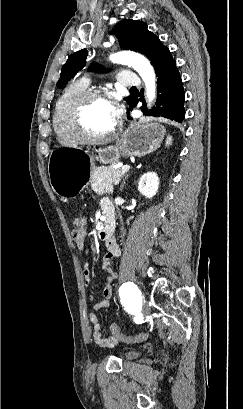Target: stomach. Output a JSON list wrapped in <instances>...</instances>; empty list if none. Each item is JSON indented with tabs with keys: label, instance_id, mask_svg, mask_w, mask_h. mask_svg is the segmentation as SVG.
Returning <instances> with one entry per match:
<instances>
[{
	"label": "stomach",
	"instance_id": "0dacf381",
	"mask_svg": "<svg viewBox=\"0 0 243 409\" xmlns=\"http://www.w3.org/2000/svg\"><path fill=\"white\" fill-rule=\"evenodd\" d=\"M164 135V127L157 122L135 123L123 132L115 145L100 148L96 160L113 164L121 156H145L160 146ZM94 169V158L89 151L58 147L51 152L48 162L51 187L63 197L79 194Z\"/></svg>",
	"mask_w": 243,
	"mask_h": 409
}]
</instances>
